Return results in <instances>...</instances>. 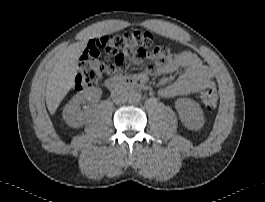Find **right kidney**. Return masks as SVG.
<instances>
[{
    "mask_svg": "<svg viewBox=\"0 0 265 202\" xmlns=\"http://www.w3.org/2000/svg\"><path fill=\"white\" fill-rule=\"evenodd\" d=\"M101 95L102 90L96 87H89L78 92L64 107L63 118L65 122L71 127L83 126L87 120V110L99 101ZM87 101L89 103L86 105ZM81 106H84L85 110Z\"/></svg>",
    "mask_w": 265,
    "mask_h": 202,
    "instance_id": "ca27d5eb",
    "label": "right kidney"
}]
</instances>
